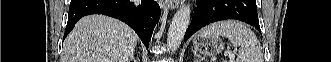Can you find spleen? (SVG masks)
Wrapping results in <instances>:
<instances>
[{
	"label": "spleen",
	"mask_w": 331,
	"mask_h": 62,
	"mask_svg": "<svg viewBox=\"0 0 331 62\" xmlns=\"http://www.w3.org/2000/svg\"><path fill=\"white\" fill-rule=\"evenodd\" d=\"M206 36L228 38L232 45L240 47L236 62H262V50L255 34L240 22L225 20L210 24L201 29Z\"/></svg>",
	"instance_id": "1"
}]
</instances>
